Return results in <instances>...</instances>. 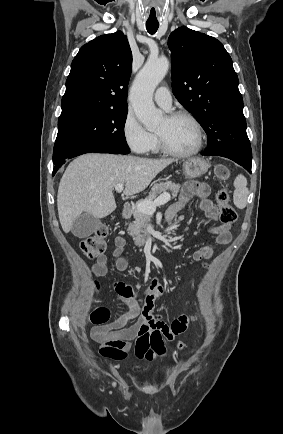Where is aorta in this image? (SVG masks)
Listing matches in <instances>:
<instances>
[{
	"mask_svg": "<svg viewBox=\"0 0 283 434\" xmlns=\"http://www.w3.org/2000/svg\"><path fill=\"white\" fill-rule=\"evenodd\" d=\"M167 58H150L136 76L130 91V102L140 122L147 130H155L163 114L153 103V93L167 74Z\"/></svg>",
	"mask_w": 283,
	"mask_h": 434,
	"instance_id": "1",
	"label": "aorta"
}]
</instances>
